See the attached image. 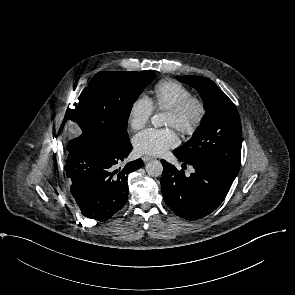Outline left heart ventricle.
Masks as SVG:
<instances>
[{
    "label": "left heart ventricle",
    "instance_id": "1",
    "mask_svg": "<svg viewBox=\"0 0 295 295\" xmlns=\"http://www.w3.org/2000/svg\"><path fill=\"white\" fill-rule=\"evenodd\" d=\"M178 120L172 114L168 113L165 120V125L168 127H176Z\"/></svg>",
    "mask_w": 295,
    "mask_h": 295
}]
</instances>
